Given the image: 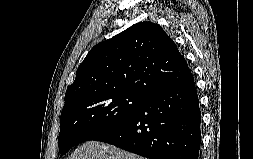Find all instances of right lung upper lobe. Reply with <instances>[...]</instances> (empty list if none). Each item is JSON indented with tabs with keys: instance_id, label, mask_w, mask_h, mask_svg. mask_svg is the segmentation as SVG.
<instances>
[{
	"instance_id": "right-lung-upper-lobe-1",
	"label": "right lung upper lobe",
	"mask_w": 253,
	"mask_h": 159,
	"mask_svg": "<svg viewBox=\"0 0 253 159\" xmlns=\"http://www.w3.org/2000/svg\"><path fill=\"white\" fill-rule=\"evenodd\" d=\"M191 74L165 31L158 24L139 22L89 51L66 91L65 104L99 92H134L147 97Z\"/></svg>"
}]
</instances>
